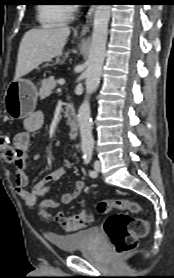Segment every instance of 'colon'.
Returning a JSON list of instances; mask_svg holds the SVG:
<instances>
[{"instance_id":"1","label":"colon","mask_w":174,"mask_h":278,"mask_svg":"<svg viewBox=\"0 0 174 278\" xmlns=\"http://www.w3.org/2000/svg\"><path fill=\"white\" fill-rule=\"evenodd\" d=\"M0 153L6 162H14L15 150L5 136H0ZM113 210L121 212L114 213L107 218L104 224L105 232L117 253H127L136 247L140 237L147 234L149 225L142 217H134L122 212L141 214L142 208L135 201L125 198L107 199L100 201L97 205V211L101 214H107ZM42 215L49 217L44 211ZM56 220L64 231L73 232L90 225L93 216L88 211H81L74 215L58 214Z\"/></svg>"}]
</instances>
